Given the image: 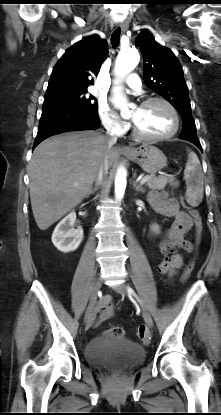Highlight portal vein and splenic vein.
I'll list each match as a JSON object with an SVG mask.
<instances>
[{
    "label": "portal vein and splenic vein",
    "instance_id": "18ae733b",
    "mask_svg": "<svg viewBox=\"0 0 221 415\" xmlns=\"http://www.w3.org/2000/svg\"><path fill=\"white\" fill-rule=\"evenodd\" d=\"M148 180H149V176H145V177H143V178L140 180V184H144V183H146ZM75 186H77V185H75Z\"/></svg>",
    "mask_w": 221,
    "mask_h": 415
}]
</instances>
